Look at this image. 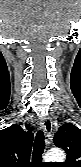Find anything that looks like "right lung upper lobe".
<instances>
[{
	"instance_id": "cb5924a9",
	"label": "right lung upper lobe",
	"mask_w": 81,
	"mask_h": 167,
	"mask_svg": "<svg viewBox=\"0 0 81 167\" xmlns=\"http://www.w3.org/2000/svg\"><path fill=\"white\" fill-rule=\"evenodd\" d=\"M33 132L30 125H12L0 131V167H30Z\"/></svg>"
}]
</instances>
